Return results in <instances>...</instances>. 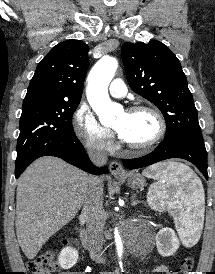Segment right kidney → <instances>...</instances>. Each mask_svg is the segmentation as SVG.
<instances>
[{"label": "right kidney", "instance_id": "right-kidney-1", "mask_svg": "<svg viewBox=\"0 0 215 274\" xmlns=\"http://www.w3.org/2000/svg\"><path fill=\"white\" fill-rule=\"evenodd\" d=\"M78 260V251L71 247L64 248L58 258V262L61 268L70 269Z\"/></svg>", "mask_w": 215, "mask_h": 274}]
</instances>
